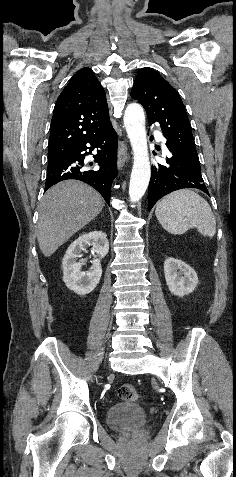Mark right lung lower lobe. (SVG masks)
<instances>
[{"instance_id": "98d812e1", "label": "right lung lower lobe", "mask_w": 236, "mask_h": 477, "mask_svg": "<svg viewBox=\"0 0 236 477\" xmlns=\"http://www.w3.org/2000/svg\"><path fill=\"white\" fill-rule=\"evenodd\" d=\"M117 145V134L110 122L88 136L67 156L48 162L44 191L62 180L77 179L95 188L109 205L112 181L117 175ZM93 150L97 151L94 158L99 167L89 169L84 158Z\"/></svg>"}]
</instances>
